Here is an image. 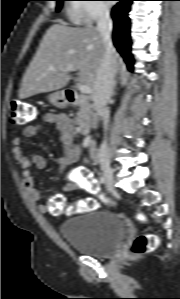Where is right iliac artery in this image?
I'll return each instance as SVG.
<instances>
[{
    "mask_svg": "<svg viewBox=\"0 0 180 299\" xmlns=\"http://www.w3.org/2000/svg\"><path fill=\"white\" fill-rule=\"evenodd\" d=\"M100 183H102V184L105 183V178H104V176L100 177Z\"/></svg>",
    "mask_w": 180,
    "mask_h": 299,
    "instance_id": "1",
    "label": "right iliac artery"
}]
</instances>
